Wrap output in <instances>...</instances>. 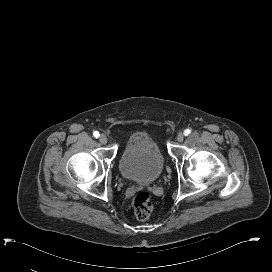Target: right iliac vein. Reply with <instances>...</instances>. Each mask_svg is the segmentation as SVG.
Masks as SVG:
<instances>
[{
  "instance_id": "1",
  "label": "right iliac vein",
  "mask_w": 272,
  "mask_h": 272,
  "mask_svg": "<svg viewBox=\"0 0 272 272\" xmlns=\"http://www.w3.org/2000/svg\"><path fill=\"white\" fill-rule=\"evenodd\" d=\"M99 142H100L101 144H106V143L108 142L107 136H106L105 134H101V135L99 136Z\"/></svg>"
}]
</instances>
